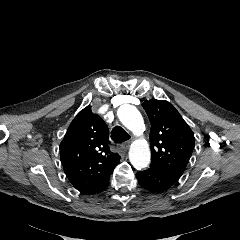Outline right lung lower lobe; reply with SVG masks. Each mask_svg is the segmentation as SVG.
Wrapping results in <instances>:
<instances>
[{
	"label": "right lung lower lobe",
	"mask_w": 240,
	"mask_h": 240,
	"mask_svg": "<svg viewBox=\"0 0 240 240\" xmlns=\"http://www.w3.org/2000/svg\"><path fill=\"white\" fill-rule=\"evenodd\" d=\"M107 186H108V183L105 184L97 193L104 191L107 188Z\"/></svg>",
	"instance_id": "1"
}]
</instances>
